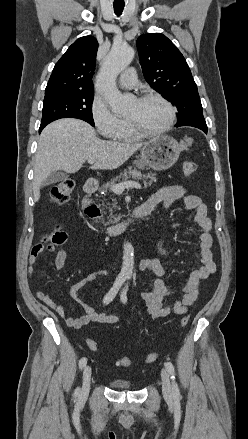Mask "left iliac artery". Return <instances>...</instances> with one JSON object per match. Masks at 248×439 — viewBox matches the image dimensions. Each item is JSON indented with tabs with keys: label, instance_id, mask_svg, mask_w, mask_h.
<instances>
[{
	"label": "left iliac artery",
	"instance_id": "left-iliac-artery-1",
	"mask_svg": "<svg viewBox=\"0 0 248 439\" xmlns=\"http://www.w3.org/2000/svg\"><path fill=\"white\" fill-rule=\"evenodd\" d=\"M127 278L130 279V276H128ZM127 289H128V286H126V288H124L122 293H121V300H122L123 303L127 302V296H126ZM165 367H166V369H167V371L170 374L171 379H172L173 394H174L175 397H177V396L180 395V392H179L178 385L175 382V369H174V365L170 361H167L165 363Z\"/></svg>",
	"mask_w": 248,
	"mask_h": 439
}]
</instances>
